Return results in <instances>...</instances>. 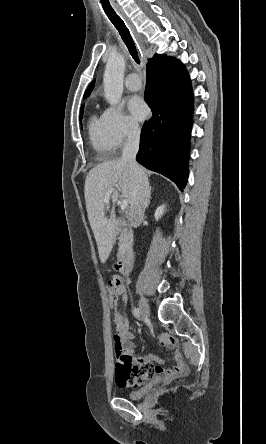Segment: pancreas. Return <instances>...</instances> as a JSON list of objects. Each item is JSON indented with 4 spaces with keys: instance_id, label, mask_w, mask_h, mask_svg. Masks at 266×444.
<instances>
[{
    "instance_id": "obj_1",
    "label": "pancreas",
    "mask_w": 266,
    "mask_h": 444,
    "mask_svg": "<svg viewBox=\"0 0 266 444\" xmlns=\"http://www.w3.org/2000/svg\"><path fill=\"white\" fill-rule=\"evenodd\" d=\"M130 231L127 228H123L121 230V235H120V243L121 245L128 239L130 238Z\"/></svg>"
}]
</instances>
